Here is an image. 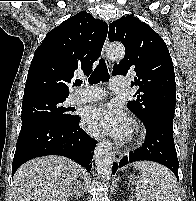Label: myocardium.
Segmentation results:
<instances>
[{"label": "myocardium", "mask_w": 196, "mask_h": 201, "mask_svg": "<svg viewBox=\"0 0 196 201\" xmlns=\"http://www.w3.org/2000/svg\"><path fill=\"white\" fill-rule=\"evenodd\" d=\"M139 136V128H135L134 129V137H138Z\"/></svg>", "instance_id": "myocardium-1"}]
</instances>
